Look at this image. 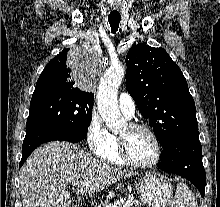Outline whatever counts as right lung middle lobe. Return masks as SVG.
Segmentation results:
<instances>
[{"instance_id": "obj_1", "label": "right lung middle lobe", "mask_w": 220, "mask_h": 207, "mask_svg": "<svg viewBox=\"0 0 220 207\" xmlns=\"http://www.w3.org/2000/svg\"><path fill=\"white\" fill-rule=\"evenodd\" d=\"M94 95L80 91L35 89L26 123V134L36 130H71L87 133Z\"/></svg>"}]
</instances>
